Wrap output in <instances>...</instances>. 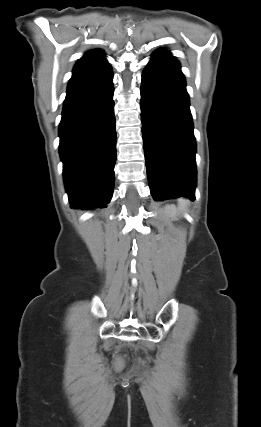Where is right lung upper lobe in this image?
<instances>
[{
    "label": "right lung upper lobe",
    "mask_w": 261,
    "mask_h": 427,
    "mask_svg": "<svg viewBox=\"0 0 261 427\" xmlns=\"http://www.w3.org/2000/svg\"><path fill=\"white\" fill-rule=\"evenodd\" d=\"M109 65L104 57L102 50L96 49L88 51L78 62L73 69V75L70 80L80 78L95 71H98Z\"/></svg>",
    "instance_id": "obj_1"
}]
</instances>
